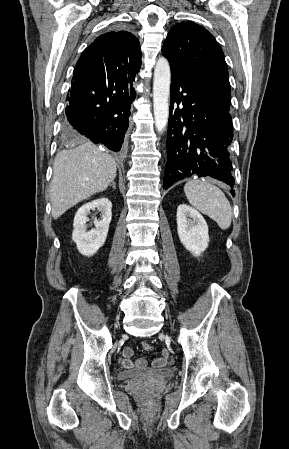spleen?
<instances>
[{
  "instance_id": "1",
  "label": "spleen",
  "mask_w": 289,
  "mask_h": 449,
  "mask_svg": "<svg viewBox=\"0 0 289 449\" xmlns=\"http://www.w3.org/2000/svg\"><path fill=\"white\" fill-rule=\"evenodd\" d=\"M189 203L213 219L222 230L231 225L232 208L225 194L215 185L202 180H190L184 186Z\"/></svg>"
}]
</instances>
